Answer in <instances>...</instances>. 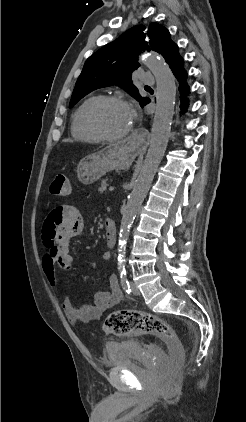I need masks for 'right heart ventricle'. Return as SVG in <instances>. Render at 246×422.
<instances>
[{"mask_svg": "<svg viewBox=\"0 0 246 422\" xmlns=\"http://www.w3.org/2000/svg\"><path fill=\"white\" fill-rule=\"evenodd\" d=\"M97 98H99V96L88 97L78 106V108L73 113L71 121V132L73 137L78 141L87 143H97L100 141L88 128L85 118L89 106Z\"/></svg>", "mask_w": 246, "mask_h": 422, "instance_id": "1", "label": "right heart ventricle"}]
</instances>
